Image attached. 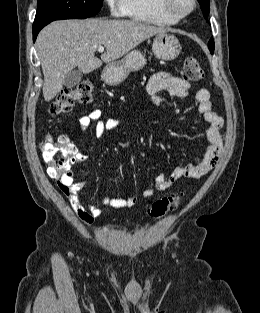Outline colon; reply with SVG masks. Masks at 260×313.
Masks as SVG:
<instances>
[{"mask_svg": "<svg viewBox=\"0 0 260 313\" xmlns=\"http://www.w3.org/2000/svg\"><path fill=\"white\" fill-rule=\"evenodd\" d=\"M183 76L190 81H200L204 78V70L196 58L188 57L183 65ZM93 86L83 81L76 86L62 90L49 106V113L53 116L69 113L76 103L87 104L92 99ZM41 154L47 164V173L57 179L66 175L75 162L77 151L75 145L66 136L56 139L49 137L40 146ZM182 196L171 195L155 201L150 209L154 219L162 218L168 212L177 209Z\"/></svg>", "mask_w": 260, "mask_h": 313, "instance_id": "obj_1", "label": "colon"}]
</instances>
